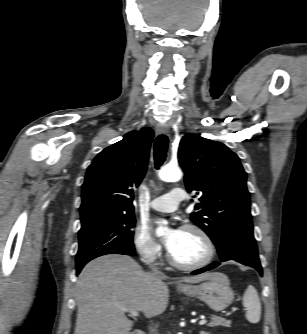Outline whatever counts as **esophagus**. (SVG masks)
I'll use <instances>...</instances> for the list:
<instances>
[{
	"mask_svg": "<svg viewBox=\"0 0 307 334\" xmlns=\"http://www.w3.org/2000/svg\"><path fill=\"white\" fill-rule=\"evenodd\" d=\"M156 132L159 135H167L169 132V126L168 124H157L156 125Z\"/></svg>",
	"mask_w": 307,
	"mask_h": 334,
	"instance_id": "esophagus-1",
	"label": "esophagus"
}]
</instances>
